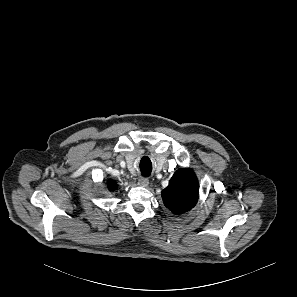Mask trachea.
<instances>
[{
	"label": "trachea",
	"mask_w": 297,
	"mask_h": 297,
	"mask_svg": "<svg viewBox=\"0 0 297 297\" xmlns=\"http://www.w3.org/2000/svg\"><path fill=\"white\" fill-rule=\"evenodd\" d=\"M140 170L143 177H148L151 173L152 166L149 162H145V160H141L140 163Z\"/></svg>",
	"instance_id": "1"
}]
</instances>
